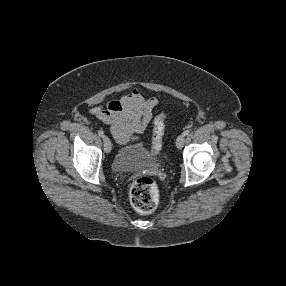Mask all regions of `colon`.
<instances>
[{"instance_id":"colon-1","label":"colon","mask_w":286,"mask_h":286,"mask_svg":"<svg viewBox=\"0 0 286 286\" xmlns=\"http://www.w3.org/2000/svg\"><path fill=\"white\" fill-rule=\"evenodd\" d=\"M165 133V114L159 113L154 119L152 151L157 154L162 146ZM130 202L140 213H150L155 210L159 201V190L155 181L148 176L137 178L130 188Z\"/></svg>"}]
</instances>
